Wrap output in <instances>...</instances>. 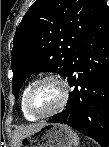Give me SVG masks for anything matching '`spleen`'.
Masks as SVG:
<instances>
[{
    "mask_svg": "<svg viewBox=\"0 0 109 147\" xmlns=\"http://www.w3.org/2000/svg\"><path fill=\"white\" fill-rule=\"evenodd\" d=\"M73 135H74V142H73L74 146L78 147V145H79V137H78V135L76 133H74Z\"/></svg>",
    "mask_w": 109,
    "mask_h": 147,
    "instance_id": "1",
    "label": "spleen"
}]
</instances>
